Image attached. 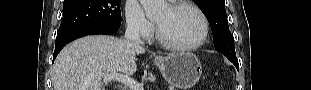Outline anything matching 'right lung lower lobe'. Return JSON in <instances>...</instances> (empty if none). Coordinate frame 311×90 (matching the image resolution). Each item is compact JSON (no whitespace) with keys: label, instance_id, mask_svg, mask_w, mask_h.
<instances>
[{"label":"right lung lower lobe","instance_id":"right-lung-lower-lobe-1","mask_svg":"<svg viewBox=\"0 0 311 90\" xmlns=\"http://www.w3.org/2000/svg\"><path fill=\"white\" fill-rule=\"evenodd\" d=\"M119 29V26H86L79 29H75L68 33L57 36L55 42V51L53 55V61L60 52V50L72 40L86 36V35H96V34H112Z\"/></svg>","mask_w":311,"mask_h":90}]
</instances>
